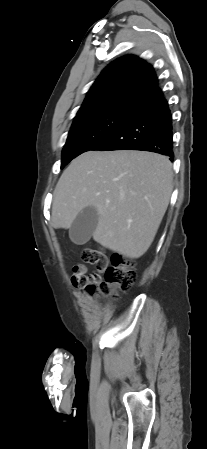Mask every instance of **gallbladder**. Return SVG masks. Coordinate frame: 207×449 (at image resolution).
Masks as SVG:
<instances>
[{
	"label": "gallbladder",
	"instance_id": "1",
	"mask_svg": "<svg viewBox=\"0 0 207 449\" xmlns=\"http://www.w3.org/2000/svg\"><path fill=\"white\" fill-rule=\"evenodd\" d=\"M97 224L98 212L96 208L92 206L85 207L78 213L69 229L70 239L77 245L87 243Z\"/></svg>",
	"mask_w": 207,
	"mask_h": 449
}]
</instances>
